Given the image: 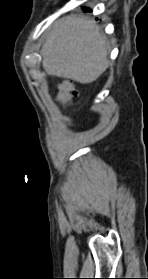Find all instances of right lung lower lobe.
I'll return each mask as SVG.
<instances>
[{
	"mask_svg": "<svg viewBox=\"0 0 148 279\" xmlns=\"http://www.w3.org/2000/svg\"><path fill=\"white\" fill-rule=\"evenodd\" d=\"M85 11H90L89 9H85Z\"/></svg>",
	"mask_w": 148,
	"mask_h": 279,
	"instance_id": "right-lung-lower-lobe-1",
	"label": "right lung lower lobe"
}]
</instances>
